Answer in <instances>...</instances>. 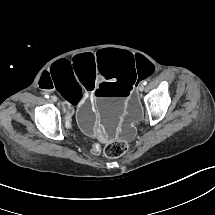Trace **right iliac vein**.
<instances>
[{
  "label": "right iliac vein",
  "instance_id": "1",
  "mask_svg": "<svg viewBox=\"0 0 215 215\" xmlns=\"http://www.w3.org/2000/svg\"><path fill=\"white\" fill-rule=\"evenodd\" d=\"M51 100H52L53 102H56V101H57V97H56L55 95H53V96L51 97Z\"/></svg>",
  "mask_w": 215,
  "mask_h": 215
}]
</instances>
